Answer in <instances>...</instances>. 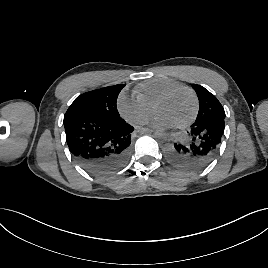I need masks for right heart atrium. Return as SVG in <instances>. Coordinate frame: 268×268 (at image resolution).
<instances>
[{
  "instance_id": "d8ad5b80",
  "label": "right heart atrium",
  "mask_w": 268,
  "mask_h": 268,
  "mask_svg": "<svg viewBox=\"0 0 268 268\" xmlns=\"http://www.w3.org/2000/svg\"><path fill=\"white\" fill-rule=\"evenodd\" d=\"M117 109L121 116L133 124L146 122L152 114V108L143 101L122 92L117 99Z\"/></svg>"
}]
</instances>
